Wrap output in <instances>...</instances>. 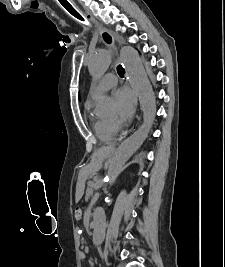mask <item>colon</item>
Returning a JSON list of instances; mask_svg holds the SVG:
<instances>
[{
	"label": "colon",
	"mask_w": 225,
	"mask_h": 267,
	"mask_svg": "<svg viewBox=\"0 0 225 267\" xmlns=\"http://www.w3.org/2000/svg\"><path fill=\"white\" fill-rule=\"evenodd\" d=\"M62 8L70 15L78 14L74 6L70 3L64 2V0H58ZM72 15V16H73ZM74 216L77 220H80L82 218V209L80 207H76L74 210Z\"/></svg>",
	"instance_id": "1"
}]
</instances>
